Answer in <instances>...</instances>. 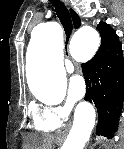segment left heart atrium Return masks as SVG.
<instances>
[{
	"instance_id": "left-heart-atrium-1",
	"label": "left heart atrium",
	"mask_w": 124,
	"mask_h": 149,
	"mask_svg": "<svg viewBox=\"0 0 124 149\" xmlns=\"http://www.w3.org/2000/svg\"><path fill=\"white\" fill-rule=\"evenodd\" d=\"M86 91L85 82L82 77L74 76L69 81L68 97L69 101H80Z\"/></svg>"
}]
</instances>
